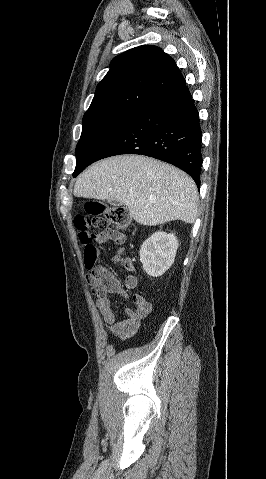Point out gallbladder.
I'll use <instances>...</instances> for the list:
<instances>
[{
	"label": "gallbladder",
	"mask_w": 266,
	"mask_h": 479,
	"mask_svg": "<svg viewBox=\"0 0 266 479\" xmlns=\"http://www.w3.org/2000/svg\"><path fill=\"white\" fill-rule=\"evenodd\" d=\"M108 202L112 205H115V206H119V205L122 204L119 201H116V200H113V199H109Z\"/></svg>",
	"instance_id": "bac80fb5"
}]
</instances>
